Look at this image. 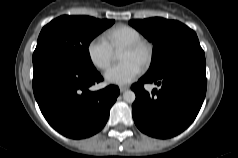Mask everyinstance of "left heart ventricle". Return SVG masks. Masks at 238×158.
Here are the masks:
<instances>
[{"label":"left heart ventricle","instance_id":"1","mask_svg":"<svg viewBox=\"0 0 238 158\" xmlns=\"http://www.w3.org/2000/svg\"><path fill=\"white\" fill-rule=\"evenodd\" d=\"M145 58V51L139 50V51H128V50H122L120 53V60L121 61H127L131 60L136 62L141 66L143 60Z\"/></svg>","mask_w":238,"mask_h":158}]
</instances>
